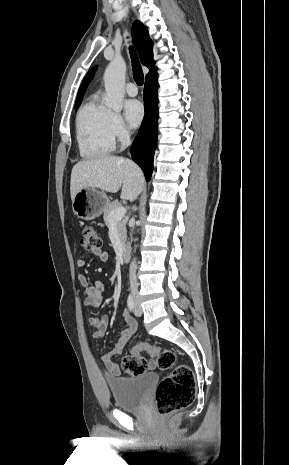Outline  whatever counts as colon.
<instances>
[{"label": "colon", "instance_id": "5ec220e1", "mask_svg": "<svg viewBox=\"0 0 289 465\" xmlns=\"http://www.w3.org/2000/svg\"><path fill=\"white\" fill-rule=\"evenodd\" d=\"M81 246L85 250L100 247L101 240L97 230L92 226H85L81 231ZM147 352L157 356V363L161 370L172 369L158 385L155 394V405L160 415L189 406L195 397L196 381L191 368L186 364H177L176 355L171 350L160 349L148 343L136 345L132 352L122 360V369L131 376L145 373L147 361L141 355Z\"/></svg>", "mask_w": 289, "mask_h": 465}]
</instances>
